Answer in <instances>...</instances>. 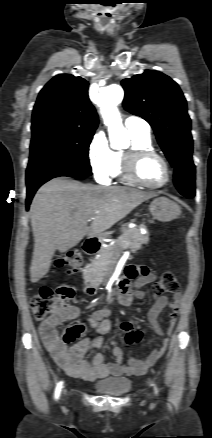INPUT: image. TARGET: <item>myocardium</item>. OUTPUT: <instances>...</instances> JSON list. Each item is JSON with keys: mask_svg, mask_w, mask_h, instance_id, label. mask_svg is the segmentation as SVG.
I'll list each match as a JSON object with an SVG mask.
<instances>
[{"mask_svg": "<svg viewBox=\"0 0 212 438\" xmlns=\"http://www.w3.org/2000/svg\"><path fill=\"white\" fill-rule=\"evenodd\" d=\"M148 157H155L159 159L163 164L166 178L160 184L147 183L143 181L138 175L139 164L143 159ZM123 174L128 181L152 189L163 188L167 186L171 181V168L166 158L155 150L147 148H131L127 152H125L123 160Z\"/></svg>", "mask_w": 212, "mask_h": 438, "instance_id": "obj_1", "label": "myocardium"}]
</instances>
